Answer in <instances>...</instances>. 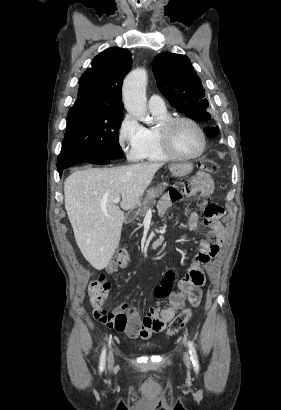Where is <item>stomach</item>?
<instances>
[{"instance_id": "obj_1", "label": "stomach", "mask_w": 281, "mask_h": 410, "mask_svg": "<svg viewBox=\"0 0 281 410\" xmlns=\"http://www.w3.org/2000/svg\"><path fill=\"white\" fill-rule=\"evenodd\" d=\"M193 169V165L190 163L173 164L169 166L170 172L176 177H182L189 174ZM141 200L138 202L134 209V213L138 214L141 208Z\"/></svg>"}]
</instances>
